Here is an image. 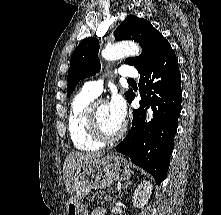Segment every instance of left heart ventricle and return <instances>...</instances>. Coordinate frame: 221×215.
<instances>
[{"label":"left heart ventricle","mask_w":221,"mask_h":215,"mask_svg":"<svg viewBox=\"0 0 221 215\" xmlns=\"http://www.w3.org/2000/svg\"><path fill=\"white\" fill-rule=\"evenodd\" d=\"M101 129L109 135L115 134L122 126L113 118L108 104L100 105L97 111Z\"/></svg>","instance_id":"obj_1"}]
</instances>
